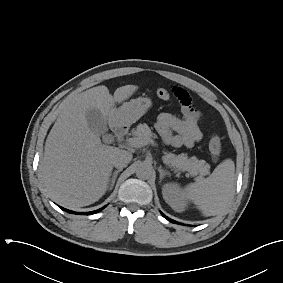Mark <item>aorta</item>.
Segmentation results:
<instances>
[{
  "label": "aorta",
  "mask_w": 283,
  "mask_h": 283,
  "mask_svg": "<svg viewBox=\"0 0 283 283\" xmlns=\"http://www.w3.org/2000/svg\"><path fill=\"white\" fill-rule=\"evenodd\" d=\"M136 175L142 179H148L152 175V167L146 162H141L136 168Z\"/></svg>",
  "instance_id": "obj_1"
}]
</instances>
